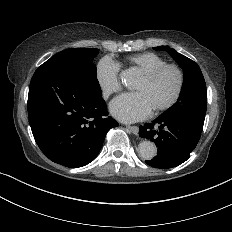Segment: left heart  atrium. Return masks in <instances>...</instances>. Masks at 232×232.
Instances as JSON below:
<instances>
[{"label": "left heart atrium", "mask_w": 232, "mask_h": 232, "mask_svg": "<svg viewBox=\"0 0 232 232\" xmlns=\"http://www.w3.org/2000/svg\"><path fill=\"white\" fill-rule=\"evenodd\" d=\"M155 108L142 91L123 94L110 104V113L116 119L132 123L148 118Z\"/></svg>", "instance_id": "1"}]
</instances>
